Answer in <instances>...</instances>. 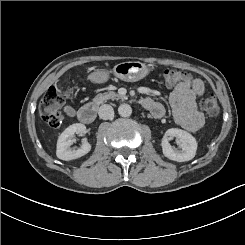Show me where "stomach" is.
I'll return each mask as SVG.
<instances>
[{
  "mask_svg": "<svg viewBox=\"0 0 245 245\" xmlns=\"http://www.w3.org/2000/svg\"><path fill=\"white\" fill-rule=\"evenodd\" d=\"M152 68L150 65L140 61H125L116 64L113 74L125 82H137L150 75ZM111 73L105 70H94L89 73L88 80L92 84H104L109 81Z\"/></svg>",
  "mask_w": 245,
  "mask_h": 245,
  "instance_id": "0dacf381",
  "label": "stomach"
}]
</instances>
